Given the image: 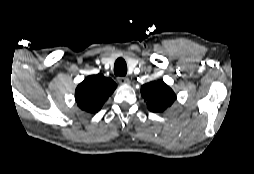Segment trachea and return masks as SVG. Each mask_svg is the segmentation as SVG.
Here are the masks:
<instances>
[{"label":"trachea","instance_id":"1","mask_svg":"<svg viewBox=\"0 0 254 174\" xmlns=\"http://www.w3.org/2000/svg\"><path fill=\"white\" fill-rule=\"evenodd\" d=\"M114 73L117 76H125L127 73V64L124 59L118 58L114 65Z\"/></svg>","mask_w":254,"mask_h":174}]
</instances>
